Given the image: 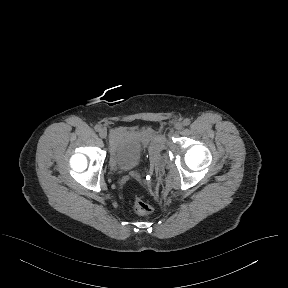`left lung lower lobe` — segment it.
Returning a JSON list of instances; mask_svg holds the SVG:
<instances>
[{"mask_svg":"<svg viewBox=\"0 0 288 288\" xmlns=\"http://www.w3.org/2000/svg\"><path fill=\"white\" fill-rule=\"evenodd\" d=\"M264 209V202L261 198H256L252 206L247 210L248 216H259Z\"/></svg>","mask_w":288,"mask_h":288,"instance_id":"obj_1","label":"left lung lower lobe"}]
</instances>
